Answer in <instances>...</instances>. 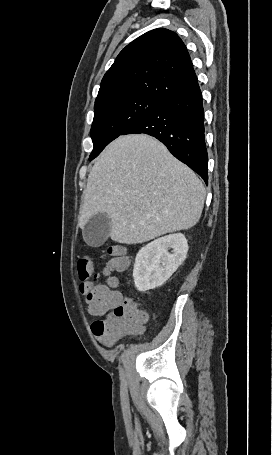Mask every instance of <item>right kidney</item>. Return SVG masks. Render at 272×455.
Returning a JSON list of instances; mask_svg holds the SVG:
<instances>
[{
  "label": "right kidney",
  "instance_id": "1",
  "mask_svg": "<svg viewBox=\"0 0 272 455\" xmlns=\"http://www.w3.org/2000/svg\"><path fill=\"white\" fill-rule=\"evenodd\" d=\"M172 248V253L168 250ZM188 243L181 233L158 238L142 247L133 269L135 287L141 292L163 285L186 259Z\"/></svg>",
  "mask_w": 272,
  "mask_h": 455
}]
</instances>
